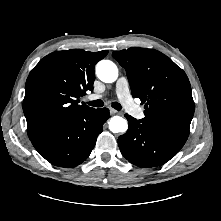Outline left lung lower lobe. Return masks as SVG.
<instances>
[{
	"mask_svg": "<svg viewBox=\"0 0 221 221\" xmlns=\"http://www.w3.org/2000/svg\"><path fill=\"white\" fill-rule=\"evenodd\" d=\"M127 132L118 138L122 155L139 167H156L173 158L186 141L162 133L142 120L125 114Z\"/></svg>",
	"mask_w": 221,
	"mask_h": 221,
	"instance_id": "left-lung-lower-lobe-1",
	"label": "left lung lower lobe"
}]
</instances>
